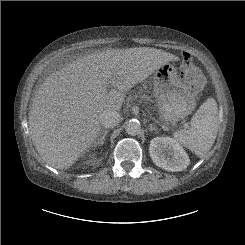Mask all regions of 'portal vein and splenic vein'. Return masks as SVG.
<instances>
[{"label":"portal vein and splenic vein","mask_w":245,"mask_h":245,"mask_svg":"<svg viewBox=\"0 0 245 245\" xmlns=\"http://www.w3.org/2000/svg\"><path fill=\"white\" fill-rule=\"evenodd\" d=\"M184 127H185V128H187V127H188V124H187V123H185V124H184Z\"/></svg>","instance_id":"18ae733b"}]
</instances>
